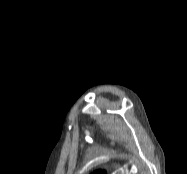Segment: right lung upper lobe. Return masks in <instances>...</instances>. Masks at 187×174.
Here are the masks:
<instances>
[{"label":"right lung upper lobe","mask_w":187,"mask_h":174,"mask_svg":"<svg viewBox=\"0 0 187 174\" xmlns=\"http://www.w3.org/2000/svg\"><path fill=\"white\" fill-rule=\"evenodd\" d=\"M93 174H105V171H96V172H94Z\"/></svg>","instance_id":"cb5924a9"}]
</instances>
